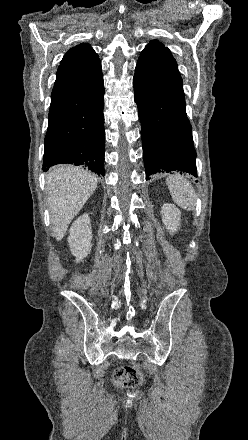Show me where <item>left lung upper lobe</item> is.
Here are the masks:
<instances>
[{
  "label": "left lung upper lobe",
  "instance_id": "5c2ea615",
  "mask_svg": "<svg viewBox=\"0 0 248 440\" xmlns=\"http://www.w3.org/2000/svg\"><path fill=\"white\" fill-rule=\"evenodd\" d=\"M135 74L150 85L166 89L185 101L183 82L170 50L157 40L141 52Z\"/></svg>",
  "mask_w": 248,
  "mask_h": 440
}]
</instances>
